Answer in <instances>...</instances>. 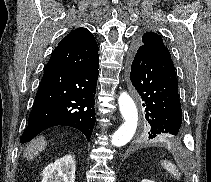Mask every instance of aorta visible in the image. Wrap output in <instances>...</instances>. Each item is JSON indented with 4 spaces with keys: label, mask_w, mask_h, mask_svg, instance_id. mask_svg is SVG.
Instances as JSON below:
<instances>
[{
    "label": "aorta",
    "mask_w": 211,
    "mask_h": 182,
    "mask_svg": "<svg viewBox=\"0 0 211 182\" xmlns=\"http://www.w3.org/2000/svg\"><path fill=\"white\" fill-rule=\"evenodd\" d=\"M118 104L124 122L112 135L111 143L116 147H122L132 139L136 132L138 112L133 99L126 92L120 94Z\"/></svg>",
    "instance_id": "obj_1"
}]
</instances>
